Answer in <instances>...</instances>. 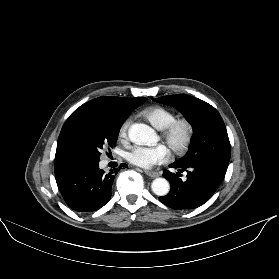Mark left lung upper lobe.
<instances>
[{
    "label": "left lung upper lobe",
    "mask_w": 279,
    "mask_h": 279,
    "mask_svg": "<svg viewBox=\"0 0 279 279\" xmlns=\"http://www.w3.org/2000/svg\"><path fill=\"white\" fill-rule=\"evenodd\" d=\"M155 101L178 109L193 127L189 151L174 164L187 166L207 163L226 173L230 160V142L218 111L205 101L186 94L163 96Z\"/></svg>",
    "instance_id": "1"
}]
</instances>
